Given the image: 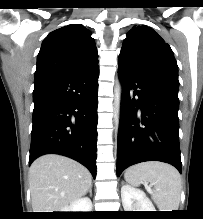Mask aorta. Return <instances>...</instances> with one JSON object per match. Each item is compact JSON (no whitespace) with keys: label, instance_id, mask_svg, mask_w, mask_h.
Masks as SVG:
<instances>
[{"label":"aorta","instance_id":"762f6f07","mask_svg":"<svg viewBox=\"0 0 203 219\" xmlns=\"http://www.w3.org/2000/svg\"><path fill=\"white\" fill-rule=\"evenodd\" d=\"M115 98H114V121L117 125L119 123V116H120V104H121V93L122 88L121 85L118 83L115 87Z\"/></svg>","mask_w":203,"mask_h":219}]
</instances>
